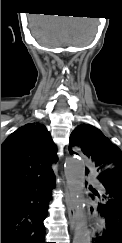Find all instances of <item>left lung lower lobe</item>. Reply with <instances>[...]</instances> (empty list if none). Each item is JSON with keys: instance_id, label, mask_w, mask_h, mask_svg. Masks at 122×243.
Returning <instances> with one entry per match:
<instances>
[{"instance_id": "obj_1", "label": "left lung lower lobe", "mask_w": 122, "mask_h": 243, "mask_svg": "<svg viewBox=\"0 0 122 243\" xmlns=\"http://www.w3.org/2000/svg\"><path fill=\"white\" fill-rule=\"evenodd\" d=\"M89 172L85 170V174ZM101 192L89 188L90 196L95 201V210L105 218L106 230L92 243H122V217L117 209L122 206V170L109 169L98 172ZM93 210V208H91Z\"/></svg>"}]
</instances>
